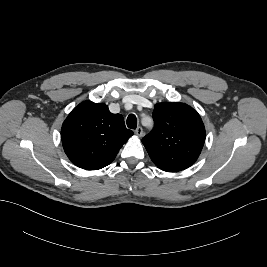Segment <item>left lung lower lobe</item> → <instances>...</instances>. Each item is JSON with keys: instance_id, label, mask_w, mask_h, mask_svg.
I'll return each instance as SVG.
<instances>
[{"instance_id": "left-lung-lower-lobe-1", "label": "left lung lower lobe", "mask_w": 267, "mask_h": 267, "mask_svg": "<svg viewBox=\"0 0 267 267\" xmlns=\"http://www.w3.org/2000/svg\"><path fill=\"white\" fill-rule=\"evenodd\" d=\"M167 172H175V171H167Z\"/></svg>"}]
</instances>
